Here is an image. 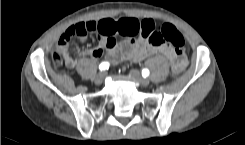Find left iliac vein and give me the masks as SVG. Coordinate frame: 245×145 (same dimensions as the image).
I'll use <instances>...</instances> for the list:
<instances>
[{"label": "left iliac vein", "instance_id": "left-iliac-vein-1", "mask_svg": "<svg viewBox=\"0 0 245 145\" xmlns=\"http://www.w3.org/2000/svg\"><path fill=\"white\" fill-rule=\"evenodd\" d=\"M130 77L142 87H147L150 84V81L142 77L139 71L137 70H131Z\"/></svg>", "mask_w": 245, "mask_h": 145}]
</instances>
